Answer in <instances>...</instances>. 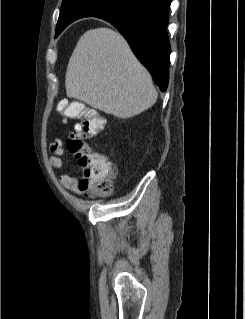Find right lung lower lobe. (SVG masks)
<instances>
[{"label": "right lung lower lobe", "instance_id": "right-lung-lower-lobe-1", "mask_svg": "<svg viewBox=\"0 0 245 319\" xmlns=\"http://www.w3.org/2000/svg\"><path fill=\"white\" fill-rule=\"evenodd\" d=\"M171 1L126 0L95 16L118 29L161 91H166L169 79L167 25Z\"/></svg>", "mask_w": 245, "mask_h": 319}]
</instances>
